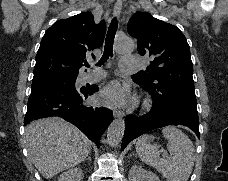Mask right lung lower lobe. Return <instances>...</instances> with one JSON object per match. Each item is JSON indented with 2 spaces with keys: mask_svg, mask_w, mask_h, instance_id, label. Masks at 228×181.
<instances>
[{
  "mask_svg": "<svg viewBox=\"0 0 228 181\" xmlns=\"http://www.w3.org/2000/svg\"><path fill=\"white\" fill-rule=\"evenodd\" d=\"M98 90L96 85L76 88L75 82L32 85L24 125L35 119L59 116L78 127L99 148L113 113L87 103V98Z\"/></svg>",
  "mask_w": 228,
  "mask_h": 181,
  "instance_id": "obj_1",
  "label": "right lung lower lobe"
}]
</instances>
